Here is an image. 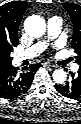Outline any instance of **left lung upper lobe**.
I'll return each instance as SVG.
<instances>
[{"label":"left lung upper lobe","instance_id":"obj_1","mask_svg":"<svg viewBox=\"0 0 81 124\" xmlns=\"http://www.w3.org/2000/svg\"><path fill=\"white\" fill-rule=\"evenodd\" d=\"M73 23L72 48L76 53V62L81 64V6L74 3H62Z\"/></svg>","mask_w":81,"mask_h":124}]
</instances>
